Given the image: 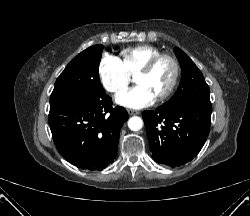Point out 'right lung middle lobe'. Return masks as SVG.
I'll use <instances>...</instances> for the list:
<instances>
[{"instance_id": "1", "label": "right lung middle lobe", "mask_w": 250, "mask_h": 216, "mask_svg": "<svg viewBox=\"0 0 250 216\" xmlns=\"http://www.w3.org/2000/svg\"><path fill=\"white\" fill-rule=\"evenodd\" d=\"M102 45L79 53L57 78L50 97V108L76 96L98 97L105 94L99 75Z\"/></svg>"}]
</instances>
